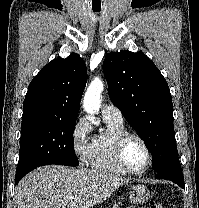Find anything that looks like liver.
Wrapping results in <instances>:
<instances>
[{"label":"liver","mask_w":199,"mask_h":208,"mask_svg":"<svg viewBox=\"0 0 199 208\" xmlns=\"http://www.w3.org/2000/svg\"><path fill=\"white\" fill-rule=\"evenodd\" d=\"M128 183L106 171L47 165L19 182L15 198L17 208H92Z\"/></svg>","instance_id":"1"}]
</instances>
